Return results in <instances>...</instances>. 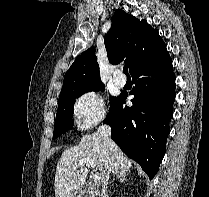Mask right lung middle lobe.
<instances>
[{
	"mask_svg": "<svg viewBox=\"0 0 209 197\" xmlns=\"http://www.w3.org/2000/svg\"><path fill=\"white\" fill-rule=\"evenodd\" d=\"M100 90H105L102 83L74 86L61 91L53 133L54 139L73 128L74 122L72 120V114L75 99L80 97L84 93ZM115 98L116 97H110V104L115 100Z\"/></svg>",
	"mask_w": 209,
	"mask_h": 197,
	"instance_id": "right-lung-middle-lobe-1",
	"label": "right lung middle lobe"
}]
</instances>
